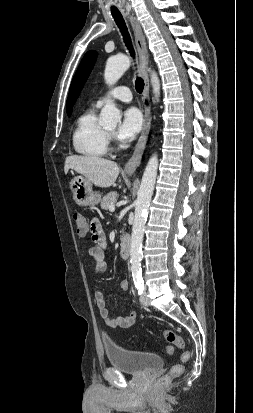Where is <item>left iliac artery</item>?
Here are the masks:
<instances>
[{"label":"left iliac artery","instance_id":"obj_1","mask_svg":"<svg viewBox=\"0 0 253 413\" xmlns=\"http://www.w3.org/2000/svg\"><path fill=\"white\" fill-rule=\"evenodd\" d=\"M134 285L138 291V294H142L144 290V281L142 278V273H137L133 275Z\"/></svg>","mask_w":253,"mask_h":413}]
</instances>
